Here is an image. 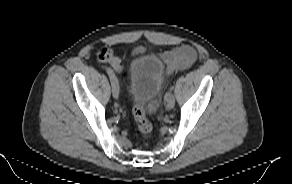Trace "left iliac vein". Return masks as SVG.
<instances>
[{"label":"left iliac vein","instance_id":"1","mask_svg":"<svg viewBox=\"0 0 292 184\" xmlns=\"http://www.w3.org/2000/svg\"><path fill=\"white\" fill-rule=\"evenodd\" d=\"M175 106V99L172 94H170L169 98L166 100V109L171 110Z\"/></svg>","mask_w":292,"mask_h":184}]
</instances>
